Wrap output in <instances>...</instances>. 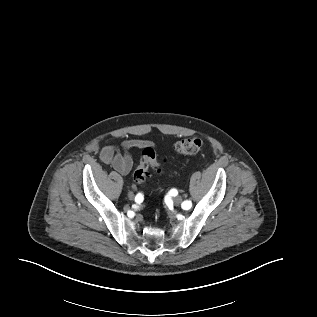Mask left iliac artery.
<instances>
[{"label":"left iliac artery","mask_w":317,"mask_h":317,"mask_svg":"<svg viewBox=\"0 0 317 317\" xmlns=\"http://www.w3.org/2000/svg\"><path fill=\"white\" fill-rule=\"evenodd\" d=\"M191 206H192V203L189 200L184 201L182 204V208H184V209H189V208H191Z\"/></svg>","instance_id":"44dca946"}]
</instances>
